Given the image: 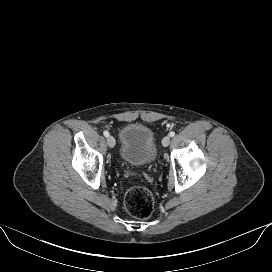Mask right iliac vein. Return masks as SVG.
I'll use <instances>...</instances> for the list:
<instances>
[{"label":"right iliac vein","mask_w":272,"mask_h":272,"mask_svg":"<svg viewBox=\"0 0 272 272\" xmlns=\"http://www.w3.org/2000/svg\"><path fill=\"white\" fill-rule=\"evenodd\" d=\"M107 143L110 148H113L116 144L115 139L113 136H108Z\"/></svg>","instance_id":"1"}]
</instances>
